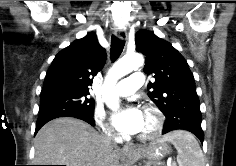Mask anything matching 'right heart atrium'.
<instances>
[{
    "label": "right heart atrium",
    "mask_w": 236,
    "mask_h": 166,
    "mask_svg": "<svg viewBox=\"0 0 236 166\" xmlns=\"http://www.w3.org/2000/svg\"><path fill=\"white\" fill-rule=\"evenodd\" d=\"M94 120L98 128L105 136H107L110 139L116 138L115 133L113 132V130L106 121L105 112L102 109L100 108L95 109Z\"/></svg>",
    "instance_id": "right-heart-atrium-1"
}]
</instances>
